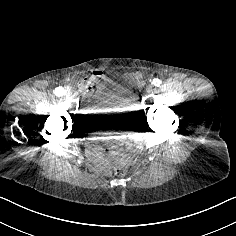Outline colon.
Returning a JSON list of instances; mask_svg holds the SVG:
<instances>
[{"instance_id":"1","label":"colon","mask_w":236,"mask_h":236,"mask_svg":"<svg viewBox=\"0 0 236 236\" xmlns=\"http://www.w3.org/2000/svg\"><path fill=\"white\" fill-rule=\"evenodd\" d=\"M127 171H128V167L124 163L118 164L114 168V172L117 176H124V175H126Z\"/></svg>"}]
</instances>
